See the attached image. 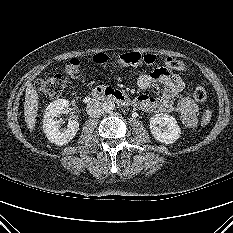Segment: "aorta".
Returning a JSON list of instances; mask_svg holds the SVG:
<instances>
[{"label": "aorta", "mask_w": 233, "mask_h": 233, "mask_svg": "<svg viewBox=\"0 0 233 233\" xmlns=\"http://www.w3.org/2000/svg\"><path fill=\"white\" fill-rule=\"evenodd\" d=\"M104 108L106 112H111L115 108V103L113 101H107L104 103Z\"/></svg>", "instance_id": "obj_1"}]
</instances>
